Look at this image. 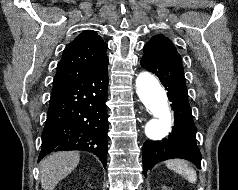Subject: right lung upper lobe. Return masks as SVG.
Here are the masks:
<instances>
[{
	"label": "right lung upper lobe",
	"mask_w": 238,
	"mask_h": 190,
	"mask_svg": "<svg viewBox=\"0 0 238 190\" xmlns=\"http://www.w3.org/2000/svg\"><path fill=\"white\" fill-rule=\"evenodd\" d=\"M107 48L96 32L83 31L64 49L53 80V91L91 74L107 63Z\"/></svg>",
	"instance_id": "1"
}]
</instances>
